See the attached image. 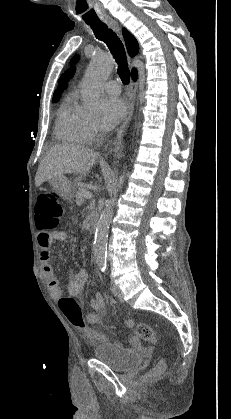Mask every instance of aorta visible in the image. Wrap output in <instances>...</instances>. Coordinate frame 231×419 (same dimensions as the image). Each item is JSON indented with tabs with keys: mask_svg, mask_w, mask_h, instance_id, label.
<instances>
[{
	"mask_svg": "<svg viewBox=\"0 0 231 419\" xmlns=\"http://www.w3.org/2000/svg\"><path fill=\"white\" fill-rule=\"evenodd\" d=\"M114 67V61L111 57L104 54L95 55L86 71L82 84V97L86 109L90 112H97L101 107V85L109 76ZM125 172L118 178V188L124 183ZM115 199L110 200L104 211L101 213L95 231V240L93 253L95 263L99 267L106 266L107 238L109 226L113 214Z\"/></svg>",
	"mask_w": 231,
	"mask_h": 419,
	"instance_id": "762f6f07",
	"label": "aorta"
}]
</instances>
